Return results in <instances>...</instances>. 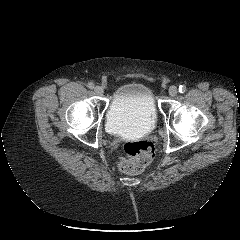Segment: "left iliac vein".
I'll return each instance as SVG.
<instances>
[{
    "label": "left iliac vein",
    "instance_id": "left-iliac-vein-1",
    "mask_svg": "<svg viewBox=\"0 0 240 240\" xmlns=\"http://www.w3.org/2000/svg\"><path fill=\"white\" fill-rule=\"evenodd\" d=\"M178 88L176 87V86H171L170 88H169V95L171 96V97H175L177 94H178Z\"/></svg>",
    "mask_w": 240,
    "mask_h": 240
}]
</instances>
